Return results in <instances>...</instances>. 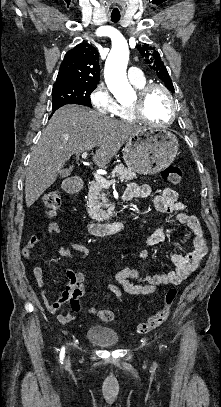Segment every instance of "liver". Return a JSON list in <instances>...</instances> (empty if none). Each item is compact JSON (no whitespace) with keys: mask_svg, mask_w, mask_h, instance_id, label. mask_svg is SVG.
<instances>
[{"mask_svg":"<svg viewBox=\"0 0 221 407\" xmlns=\"http://www.w3.org/2000/svg\"><path fill=\"white\" fill-rule=\"evenodd\" d=\"M141 129L89 108L76 105L59 108L31 153L25 181L27 207L32 206L56 181L72 155L97 147L93 161L98 167H104Z\"/></svg>","mask_w":221,"mask_h":407,"instance_id":"6515ba94","label":"liver"}]
</instances>
